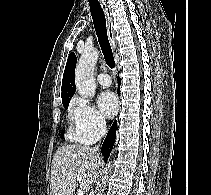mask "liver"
I'll return each mask as SVG.
<instances>
[{
  "label": "liver",
  "instance_id": "obj_1",
  "mask_svg": "<svg viewBox=\"0 0 211 195\" xmlns=\"http://www.w3.org/2000/svg\"><path fill=\"white\" fill-rule=\"evenodd\" d=\"M101 164L99 153L88 146H60L52 160L50 195H74L78 176L80 187L90 190L99 176Z\"/></svg>",
  "mask_w": 211,
  "mask_h": 195
}]
</instances>
